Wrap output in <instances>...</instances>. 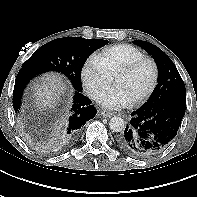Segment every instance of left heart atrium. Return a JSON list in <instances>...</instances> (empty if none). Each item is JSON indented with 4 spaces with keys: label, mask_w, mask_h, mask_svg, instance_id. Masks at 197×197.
Segmentation results:
<instances>
[{
    "label": "left heart atrium",
    "mask_w": 197,
    "mask_h": 197,
    "mask_svg": "<svg viewBox=\"0 0 197 197\" xmlns=\"http://www.w3.org/2000/svg\"><path fill=\"white\" fill-rule=\"evenodd\" d=\"M99 102L106 108L121 109L131 104V99L122 88L114 86L100 95Z\"/></svg>",
    "instance_id": "39dd6f15"
}]
</instances>
